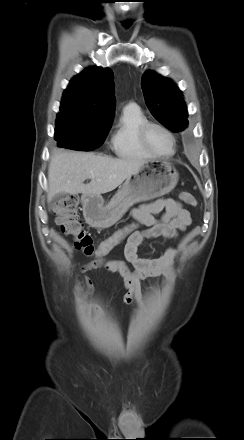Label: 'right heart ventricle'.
Masks as SVG:
<instances>
[{"label":"right heart ventricle","instance_id":"obj_1","mask_svg":"<svg viewBox=\"0 0 244 440\" xmlns=\"http://www.w3.org/2000/svg\"><path fill=\"white\" fill-rule=\"evenodd\" d=\"M146 115L137 107H125L117 121L111 137V147L121 158L147 159L151 155L139 144L138 128L147 122Z\"/></svg>","mask_w":244,"mask_h":440}]
</instances>
